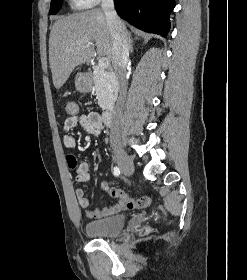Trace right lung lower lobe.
Segmentation results:
<instances>
[{
	"instance_id": "1",
	"label": "right lung lower lobe",
	"mask_w": 247,
	"mask_h": 280,
	"mask_svg": "<svg viewBox=\"0 0 247 280\" xmlns=\"http://www.w3.org/2000/svg\"><path fill=\"white\" fill-rule=\"evenodd\" d=\"M119 16L147 32L166 37L175 0H114Z\"/></svg>"
}]
</instances>
